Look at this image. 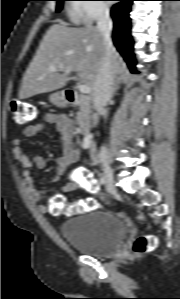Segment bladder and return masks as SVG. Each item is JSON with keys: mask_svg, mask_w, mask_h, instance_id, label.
<instances>
[{"mask_svg": "<svg viewBox=\"0 0 180 299\" xmlns=\"http://www.w3.org/2000/svg\"><path fill=\"white\" fill-rule=\"evenodd\" d=\"M60 231L73 249L95 257H105L117 252L127 232L120 217L101 209L64 221Z\"/></svg>", "mask_w": 180, "mask_h": 299, "instance_id": "bladder-1", "label": "bladder"}]
</instances>
